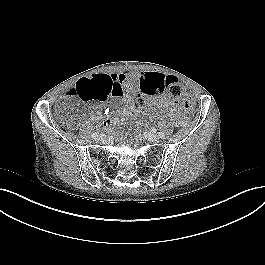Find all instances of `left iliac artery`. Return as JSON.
I'll return each instance as SVG.
<instances>
[{"label":"left iliac artery","instance_id":"obj_1","mask_svg":"<svg viewBox=\"0 0 265 265\" xmlns=\"http://www.w3.org/2000/svg\"><path fill=\"white\" fill-rule=\"evenodd\" d=\"M159 136H160V138L164 137V133L160 132Z\"/></svg>","mask_w":265,"mask_h":265}]
</instances>
